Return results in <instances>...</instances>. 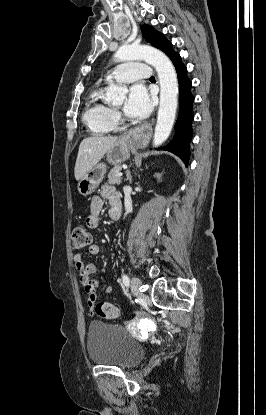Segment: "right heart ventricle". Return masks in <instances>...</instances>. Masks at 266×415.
Masks as SVG:
<instances>
[{
  "label": "right heart ventricle",
  "instance_id": "obj_1",
  "mask_svg": "<svg viewBox=\"0 0 266 415\" xmlns=\"http://www.w3.org/2000/svg\"><path fill=\"white\" fill-rule=\"evenodd\" d=\"M115 112L103 98V89L93 90L89 96L83 120L88 128L95 134H106L116 127Z\"/></svg>",
  "mask_w": 266,
  "mask_h": 415
}]
</instances>
